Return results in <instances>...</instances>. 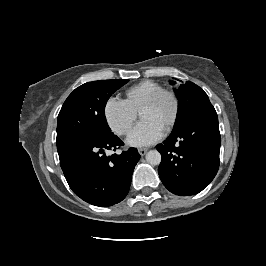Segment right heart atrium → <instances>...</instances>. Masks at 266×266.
Wrapping results in <instances>:
<instances>
[{"instance_id":"d8ad5b80","label":"right heart atrium","mask_w":266,"mask_h":266,"mask_svg":"<svg viewBox=\"0 0 266 266\" xmlns=\"http://www.w3.org/2000/svg\"><path fill=\"white\" fill-rule=\"evenodd\" d=\"M104 117L114 133L125 135L135 122L137 111L126 100L110 97L104 105Z\"/></svg>"}]
</instances>
